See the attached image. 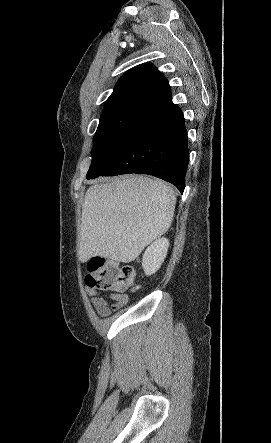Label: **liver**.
Returning <instances> with one entry per match:
<instances>
[{
	"mask_svg": "<svg viewBox=\"0 0 271 443\" xmlns=\"http://www.w3.org/2000/svg\"><path fill=\"white\" fill-rule=\"evenodd\" d=\"M175 206L173 188L147 176H119L90 186L82 206L79 259L100 255L134 261L170 227Z\"/></svg>",
	"mask_w": 271,
	"mask_h": 443,
	"instance_id": "obj_1",
	"label": "liver"
}]
</instances>
